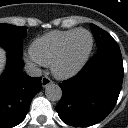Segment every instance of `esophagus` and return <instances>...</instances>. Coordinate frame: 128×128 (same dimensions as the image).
<instances>
[{"mask_svg":"<svg viewBox=\"0 0 128 128\" xmlns=\"http://www.w3.org/2000/svg\"><path fill=\"white\" fill-rule=\"evenodd\" d=\"M41 83L43 87H46L52 83V80L49 77L44 76L42 77Z\"/></svg>","mask_w":128,"mask_h":128,"instance_id":"obj_1","label":"esophagus"}]
</instances>
